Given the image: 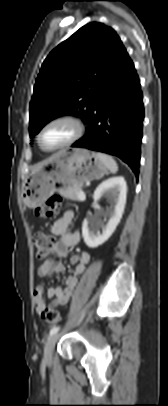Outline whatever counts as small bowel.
I'll use <instances>...</instances> for the list:
<instances>
[{
    "mask_svg": "<svg viewBox=\"0 0 168 406\" xmlns=\"http://www.w3.org/2000/svg\"><path fill=\"white\" fill-rule=\"evenodd\" d=\"M73 217V211L68 210L50 226V233L57 236L58 239L52 250L51 257L39 265L37 269L38 277L47 278L64 271V265L58 259L65 257L68 254L69 248L80 241L79 232L71 231L69 228ZM90 260L91 255L88 252L71 256L70 262L74 265V274L67 276L62 286L49 287L46 291L51 307L67 304L77 287L78 278L83 275L85 266ZM34 300L37 312L41 313L42 309L46 307L42 285H39L35 289Z\"/></svg>",
    "mask_w": 168,
    "mask_h": 406,
    "instance_id": "obj_1",
    "label": "small bowel"
}]
</instances>
